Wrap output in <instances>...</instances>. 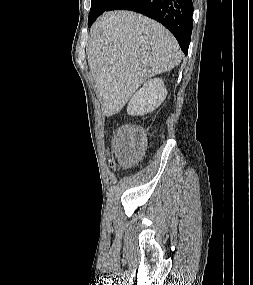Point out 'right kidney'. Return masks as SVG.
Masks as SVG:
<instances>
[{"instance_id":"1","label":"right kidney","mask_w":253,"mask_h":285,"mask_svg":"<svg viewBox=\"0 0 253 285\" xmlns=\"http://www.w3.org/2000/svg\"><path fill=\"white\" fill-rule=\"evenodd\" d=\"M167 96L164 82L160 78L146 81L131 98L127 112L130 115H145L158 108Z\"/></svg>"}]
</instances>
